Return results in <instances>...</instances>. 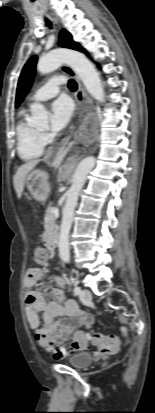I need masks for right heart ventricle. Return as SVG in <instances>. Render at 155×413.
<instances>
[{"instance_id":"e07e8e85","label":"right heart ventricle","mask_w":155,"mask_h":413,"mask_svg":"<svg viewBox=\"0 0 155 413\" xmlns=\"http://www.w3.org/2000/svg\"><path fill=\"white\" fill-rule=\"evenodd\" d=\"M17 152L19 157L25 161L36 160L44 153V142L41 133L32 127L28 121L25 110L21 112L16 126Z\"/></svg>"}]
</instances>
